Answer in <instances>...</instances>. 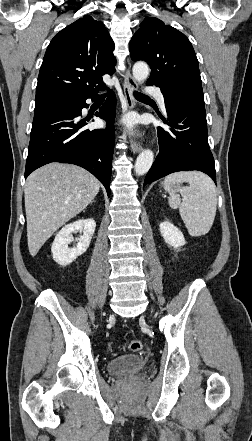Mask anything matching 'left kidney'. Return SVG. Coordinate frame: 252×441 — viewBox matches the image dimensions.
Masks as SVG:
<instances>
[{"mask_svg":"<svg viewBox=\"0 0 252 441\" xmlns=\"http://www.w3.org/2000/svg\"><path fill=\"white\" fill-rule=\"evenodd\" d=\"M160 232L165 242L174 248H179L186 243L182 232L169 221L160 224Z\"/></svg>","mask_w":252,"mask_h":441,"instance_id":"obj_1","label":"left kidney"}]
</instances>
